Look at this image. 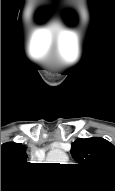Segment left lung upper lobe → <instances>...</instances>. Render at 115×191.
I'll return each mask as SVG.
<instances>
[{
    "mask_svg": "<svg viewBox=\"0 0 115 191\" xmlns=\"http://www.w3.org/2000/svg\"><path fill=\"white\" fill-rule=\"evenodd\" d=\"M78 166L115 183V146L101 137L78 138L71 146Z\"/></svg>",
    "mask_w": 115,
    "mask_h": 191,
    "instance_id": "obj_1",
    "label": "left lung upper lobe"
}]
</instances>
